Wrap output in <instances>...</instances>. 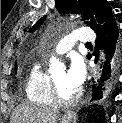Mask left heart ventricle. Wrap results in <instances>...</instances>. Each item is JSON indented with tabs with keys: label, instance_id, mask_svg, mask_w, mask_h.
<instances>
[{
	"label": "left heart ventricle",
	"instance_id": "1",
	"mask_svg": "<svg viewBox=\"0 0 122 123\" xmlns=\"http://www.w3.org/2000/svg\"><path fill=\"white\" fill-rule=\"evenodd\" d=\"M65 71H60L56 74H54L52 77L55 80L60 93L65 96V97H69L72 96L73 94H75L77 92V89L71 88L70 86H68L65 82Z\"/></svg>",
	"mask_w": 122,
	"mask_h": 123
}]
</instances>
